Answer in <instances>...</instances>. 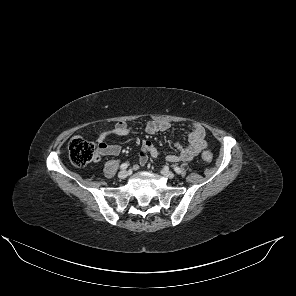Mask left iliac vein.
Wrapping results in <instances>:
<instances>
[{
  "label": "left iliac vein",
  "instance_id": "1",
  "mask_svg": "<svg viewBox=\"0 0 296 296\" xmlns=\"http://www.w3.org/2000/svg\"><path fill=\"white\" fill-rule=\"evenodd\" d=\"M161 174L167 177L168 179H173L175 176L174 173L167 168L161 170Z\"/></svg>",
  "mask_w": 296,
  "mask_h": 296
}]
</instances>
